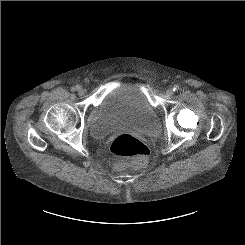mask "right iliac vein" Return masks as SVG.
I'll return each instance as SVG.
<instances>
[{
	"label": "right iliac vein",
	"instance_id": "obj_1",
	"mask_svg": "<svg viewBox=\"0 0 245 245\" xmlns=\"http://www.w3.org/2000/svg\"><path fill=\"white\" fill-rule=\"evenodd\" d=\"M78 94H79L80 96L85 95V94H86V89H85V88L80 87V88L78 89Z\"/></svg>",
	"mask_w": 245,
	"mask_h": 245
}]
</instances>
